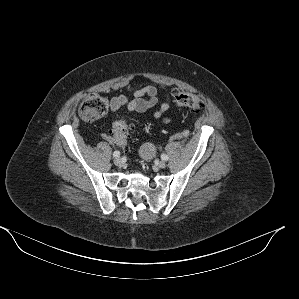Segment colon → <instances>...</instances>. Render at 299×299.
<instances>
[{"instance_id":"5ec220e1","label":"colon","mask_w":299,"mask_h":299,"mask_svg":"<svg viewBox=\"0 0 299 299\" xmlns=\"http://www.w3.org/2000/svg\"><path fill=\"white\" fill-rule=\"evenodd\" d=\"M178 106L192 111H200L205 107L203 99L196 94L178 92L174 95ZM108 111L107 100L98 94L86 95L79 106V113L84 120L94 121L104 116ZM130 124L126 119H118L113 123L112 133L117 144L124 148Z\"/></svg>"}]
</instances>
